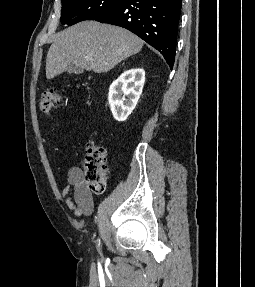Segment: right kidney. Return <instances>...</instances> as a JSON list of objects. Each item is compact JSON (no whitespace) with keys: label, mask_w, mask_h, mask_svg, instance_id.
<instances>
[{"label":"right kidney","mask_w":255,"mask_h":287,"mask_svg":"<svg viewBox=\"0 0 255 287\" xmlns=\"http://www.w3.org/2000/svg\"><path fill=\"white\" fill-rule=\"evenodd\" d=\"M145 82L142 68L126 70L109 88L108 102L117 122H125L134 110ZM123 94V98H122ZM127 96L128 100H126Z\"/></svg>","instance_id":"obj_1"}]
</instances>
